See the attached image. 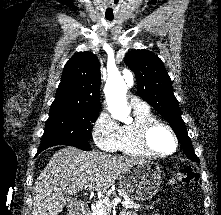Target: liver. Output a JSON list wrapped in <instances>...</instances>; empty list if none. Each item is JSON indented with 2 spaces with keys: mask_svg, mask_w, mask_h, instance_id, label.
Here are the masks:
<instances>
[{
  "mask_svg": "<svg viewBox=\"0 0 221 215\" xmlns=\"http://www.w3.org/2000/svg\"><path fill=\"white\" fill-rule=\"evenodd\" d=\"M139 162L142 161L99 151L61 149L35 181L32 215H58L66 204V196L75 195L84 187L106 191L122 172Z\"/></svg>",
  "mask_w": 221,
  "mask_h": 215,
  "instance_id": "obj_1",
  "label": "liver"
}]
</instances>
